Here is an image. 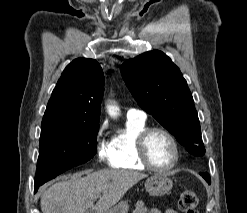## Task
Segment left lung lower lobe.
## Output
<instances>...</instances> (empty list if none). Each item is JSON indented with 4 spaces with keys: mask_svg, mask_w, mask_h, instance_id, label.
I'll list each match as a JSON object with an SVG mask.
<instances>
[{
    "mask_svg": "<svg viewBox=\"0 0 247 213\" xmlns=\"http://www.w3.org/2000/svg\"><path fill=\"white\" fill-rule=\"evenodd\" d=\"M201 175L203 176V178L208 182L210 179V176L207 173H201ZM210 184V183H208Z\"/></svg>",
    "mask_w": 247,
    "mask_h": 213,
    "instance_id": "left-lung-lower-lobe-1",
    "label": "left lung lower lobe"
}]
</instances>
